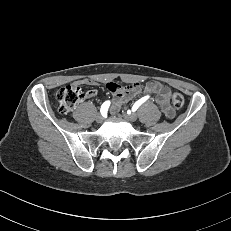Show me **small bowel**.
I'll return each instance as SVG.
<instances>
[{"label":"small bowel","instance_id":"c3829d8e","mask_svg":"<svg viewBox=\"0 0 231 231\" xmlns=\"http://www.w3.org/2000/svg\"><path fill=\"white\" fill-rule=\"evenodd\" d=\"M83 84L94 85L95 81L90 79H79L75 82V85L77 86ZM107 88L116 96V100L112 106V111L116 112L120 109L124 102L140 91L141 86L138 83L127 86H121L116 83H108ZM145 90L148 93L156 95V103L159 105L162 113L166 117L173 118L175 116V111L169 103L170 89L167 86L156 81H151L146 85ZM96 94V90H90L88 91L87 96L94 97Z\"/></svg>","mask_w":231,"mask_h":231}]
</instances>
